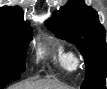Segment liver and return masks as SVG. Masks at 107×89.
<instances>
[{
	"label": "liver",
	"mask_w": 107,
	"mask_h": 89,
	"mask_svg": "<svg viewBox=\"0 0 107 89\" xmlns=\"http://www.w3.org/2000/svg\"><path fill=\"white\" fill-rule=\"evenodd\" d=\"M11 89H68L67 86L58 84L48 79H40L34 82L14 85Z\"/></svg>",
	"instance_id": "6515ba94"
}]
</instances>
